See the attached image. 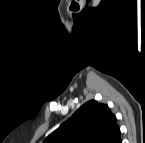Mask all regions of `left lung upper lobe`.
Returning <instances> with one entry per match:
<instances>
[{
    "label": "left lung upper lobe",
    "mask_w": 145,
    "mask_h": 143,
    "mask_svg": "<svg viewBox=\"0 0 145 143\" xmlns=\"http://www.w3.org/2000/svg\"><path fill=\"white\" fill-rule=\"evenodd\" d=\"M117 119L105 104L91 100L50 134L44 143H118Z\"/></svg>",
    "instance_id": "obj_1"
}]
</instances>
